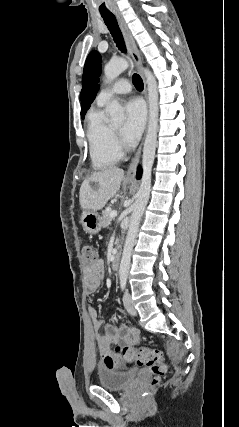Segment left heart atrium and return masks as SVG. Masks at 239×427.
Wrapping results in <instances>:
<instances>
[{
  "mask_svg": "<svg viewBox=\"0 0 239 427\" xmlns=\"http://www.w3.org/2000/svg\"><path fill=\"white\" fill-rule=\"evenodd\" d=\"M126 121L122 128L125 141L132 144L140 137L146 119L143 103L138 99H132L125 105Z\"/></svg>",
  "mask_w": 239,
  "mask_h": 427,
  "instance_id": "39dd6f15",
  "label": "left heart atrium"
}]
</instances>
